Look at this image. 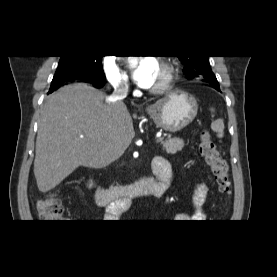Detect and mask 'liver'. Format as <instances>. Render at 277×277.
Wrapping results in <instances>:
<instances>
[{
    "label": "liver",
    "instance_id": "6515ba94",
    "mask_svg": "<svg viewBox=\"0 0 277 277\" xmlns=\"http://www.w3.org/2000/svg\"><path fill=\"white\" fill-rule=\"evenodd\" d=\"M86 83L61 87L40 111L34 175L45 193L79 166L102 168L117 160L135 136L123 102Z\"/></svg>",
    "mask_w": 277,
    "mask_h": 277
}]
</instances>
